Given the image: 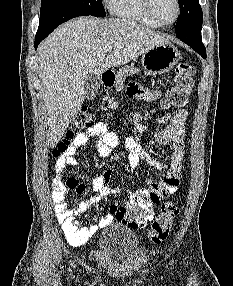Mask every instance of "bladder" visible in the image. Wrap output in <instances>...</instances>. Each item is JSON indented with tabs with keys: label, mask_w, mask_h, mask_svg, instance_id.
<instances>
[{
	"label": "bladder",
	"mask_w": 233,
	"mask_h": 286,
	"mask_svg": "<svg viewBox=\"0 0 233 286\" xmlns=\"http://www.w3.org/2000/svg\"><path fill=\"white\" fill-rule=\"evenodd\" d=\"M141 252L139 237L125 225L113 224L100 237L95 250L96 260L123 263Z\"/></svg>",
	"instance_id": "31cf9c89"
}]
</instances>
